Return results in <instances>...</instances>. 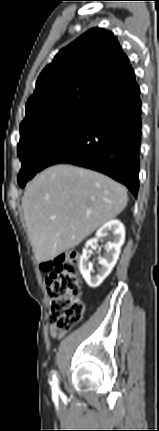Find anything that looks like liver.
Here are the masks:
<instances>
[{"mask_svg": "<svg viewBox=\"0 0 159 431\" xmlns=\"http://www.w3.org/2000/svg\"><path fill=\"white\" fill-rule=\"evenodd\" d=\"M127 202L126 188L98 172L64 164L42 171L22 198L36 260L47 262L74 248Z\"/></svg>", "mask_w": 159, "mask_h": 431, "instance_id": "obj_1", "label": "liver"}]
</instances>
